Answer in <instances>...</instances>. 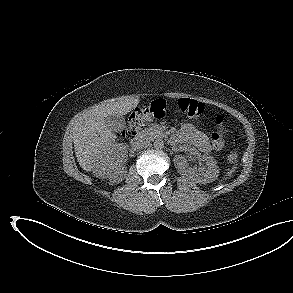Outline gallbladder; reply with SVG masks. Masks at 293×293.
Here are the masks:
<instances>
[{"instance_id": "bac80fb5", "label": "gallbladder", "mask_w": 293, "mask_h": 293, "mask_svg": "<svg viewBox=\"0 0 293 293\" xmlns=\"http://www.w3.org/2000/svg\"><path fill=\"white\" fill-rule=\"evenodd\" d=\"M107 127L114 131L120 132L125 128V118L121 115H109L105 118Z\"/></svg>"}]
</instances>
